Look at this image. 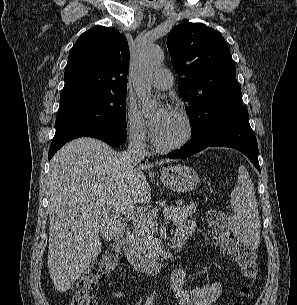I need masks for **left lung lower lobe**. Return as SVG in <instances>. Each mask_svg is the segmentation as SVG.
I'll use <instances>...</instances> for the list:
<instances>
[{
	"label": "left lung lower lobe",
	"mask_w": 297,
	"mask_h": 305,
	"mask_svg": "<svg viewBox=\"0 0 297 305\" xmlns=\"http://www.w3.org/2000/svg\"><path fill=\"white\" fill-rule=\"evenodd\" d=\"M214 146L241 151L260 172L257 140L249 124V114L243 106L230 109L225 115L212 119L199 135L192 136L181 150L169 153L167 157H188Z\"/></svg>",
	"instance_id": "obj_1"
}]
</instances>
